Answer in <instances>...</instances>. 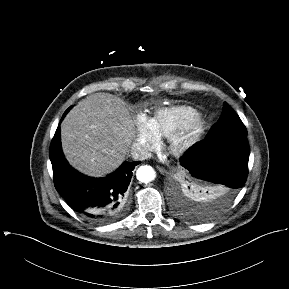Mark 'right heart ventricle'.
Masks as SVG:
<instances>
[{
    "instance_id": "1",
    "label": "right heart ventricle",
    "mask_w": 289,
    "mask_h": 289,
    "mask_svg": "<svg viewBox=\"0 0 289 289\" xmlns=\"http://www.w3.org/2000/svg\"><path fill=\"white\" fill-rule=\"evenodd\" d=\"M198 118L199 113L190 106H173L157 109L150 124L158 139H171Z\"/></svg>"
}]
</instances>
